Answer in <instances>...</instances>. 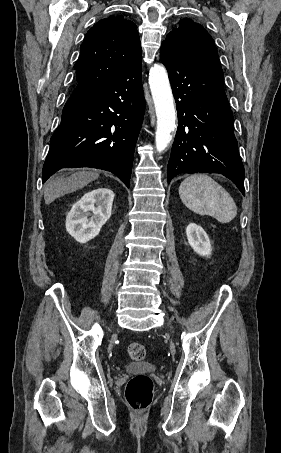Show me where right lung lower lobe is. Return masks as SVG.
Returning a JSON list of instances; mask_svg holds the SVG:
<instances>
[{"mask_svg":"<svg viewBox=\"0 0 281 453\" xmlns=\"http://www.w3.org/2000/svg\"><path fill=\"white\" fill-rule=\"evenodd\" d=\"M144 111L141 59L113 80L78 83L51 137L42 182L62 168L92 167L129 187Z\"/></svg>","mask_w":281,"mask_h":453,"instance_id":"right-lung-lower-lobe-1","label":"right lung lower lobe"}]
</instances>
